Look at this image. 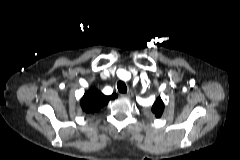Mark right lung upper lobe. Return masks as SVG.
I'll return each instance as SVG.
<instances>
[{"instance_id": "obj_1", "label": "right lung upper lobe", "mask_w": 240, "mask_h": 160, "mask_svg": "<svg viewBox=\"0 0 240 160\" xmlns=\"http://www.w3.org/2000/svg\"><path fill=\"white\" fill-rule=\"evenodd\" d=\"M116 94L110 96H105L96 88H91L85 92L84 96L81 99L82 110L86 113H94L99 111L103 106H105L109 100L115 99Z\"/></svg>"}]
</instances>
